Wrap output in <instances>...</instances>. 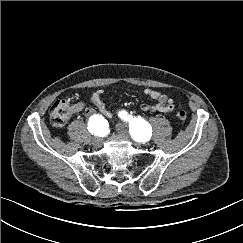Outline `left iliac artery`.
<instances>
[{
    "instance_id": "left-iliac-artery-1",
    "label": "left iliac artery",
    "mask_w": 243,
    "mask_h": 243,
    "mask_svg": "<svg viewBox=\"0 0 243 243\" xmlns=\"http://www.w3.org/2000/svg\"><path fill=\"white\" fill-rule=\"evenodd\" d=\"M119 116L126 120L129 121V130H130V134L133 137L134 140L136 141H145V139H143V137L145 138L146 135L148 134V124L142 119V118H133L132 116H127V113L125 111H122L119 113ZM142 125H146L144 127H146V130H144V128H142ZM147 140V139H146Z\"/></svg>"
}]
</instances>
